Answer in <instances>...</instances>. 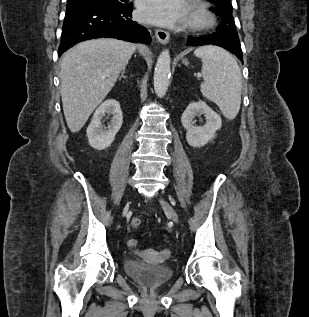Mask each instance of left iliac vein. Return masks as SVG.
I'll list each match as a JSON object with an SVG mask.
<instances>
[{"instance_id": "4c4485c4", "label": "left iliac vein", "mask_w": 309, "mask_h": 317, "mask_svg": "<svg viewBox=\"0 0 309 317\" xmlns=\"http://www.w3.org/2000/svg\"><path fill=\"white\" fill-rule=\"evenodd\" d=\"M160 203L165 213L177 224L179 222V217L175 209L163 198L160 199Z\"/></svg>"}]
</instances>
